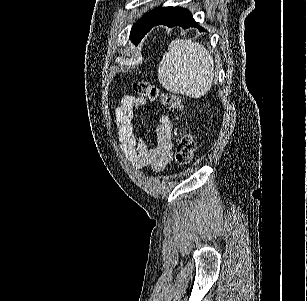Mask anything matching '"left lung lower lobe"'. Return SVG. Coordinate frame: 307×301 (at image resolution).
<instances>
[{"instance_id": "1", "label": "left lung lower lobe", "mask_w": 307, "mask_h": 301, "mask_svg": "<svg viewBox=\"0 0 307 301\" xmlns=\"http://www.w3.org/2000/svg\"><path fill=\"white\" fill-rule=\"evenodd\" d=\"M160 24L166 25L168 27L181 26L183 29L197 27L199 31H204V29L201 28L194 20L191 13L187 9L180 7H171L152 23L150 29Z\"/></svg>"}]
</instances>
